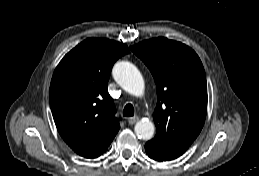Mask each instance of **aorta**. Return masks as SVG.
Masks as SVG:
<instances>
[{"instance_id":"1","label":"aorta","mask_w":259,"mask_h":176,"mask_svg":"<svg viewBox=\"0 0 259 176\" xmlns=\"http://www.w3.org/2000/svg\"><path fill=\"white\" fill-rule=\"evenodd\" d=\"M115 81L128 93L142 96L144 93V80L135 65L127 61L117 62L112 71ZM136 135L143 140H150L154 136L155 126L149 120H140L135 125Z\"/></svg>"}]
</instances>
